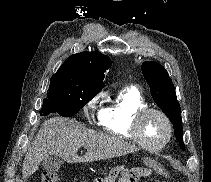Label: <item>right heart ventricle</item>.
Masks as SVG:
<instances>
[{
    "label": "right heart ventricle",
    "instance_id": "e07e8e85",
    "mask_svg": "<svg viewBox=\"0 0 211 182\" xmlns=\"http://www.w3.org/2000/svg\"><path fill=\"white\" fill-rule=\"evenodd\" d=\"M147 102L142 93L127 87L120 91L104 110L100 124L110 135L128 141H134L131 126L137 110L146 107Z\"/></svg>",
    "mask_w": 211,
    "mask_h": 182
}]
</instances>
